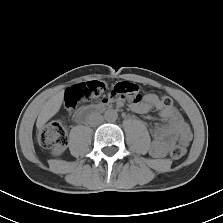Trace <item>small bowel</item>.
<instances>
[{
	"mask_svg": "<svg viewBox=\"0 0 223 223\" xmlns=\"http://www.w3.org/2000/svg\"><path fill=\"white\" fill-rule=\"evenodd\" d=\"M109 102V99L104 98L99 105H106ZM130 107L134 112L140 114L147 113L153 107L159 111L163 124L155 126L152 130L153 141L149 149L151 156L163 157L175 142L184 140L187 143L191 140L190 127L179 111L172 105L162 106L160 98L156 94H147L142 99L141 97L139 99L132 98Z\"/></svg>",
	"mask_w": 223,
	"mask_h": 223,
	"instance_id": "c3829d8e",
	"label": "small bowel"
}]
</instances>
